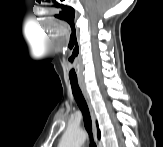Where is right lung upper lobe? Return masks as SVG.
<instances>
[{"mask_svg":"<svg viewBox=\"0 0 163 147\" xmlns=\"http://www.w3.org/2000/svg\"><path fill=\"white\" fill-rule=\"evenodd\" d=\"M98 138H100V131L98 130Z\"/></svg>","mask_w":163,"mask_h":147,"instance_id":"cb5924a9","label":"right lung upper lobe"}]
</instances>
